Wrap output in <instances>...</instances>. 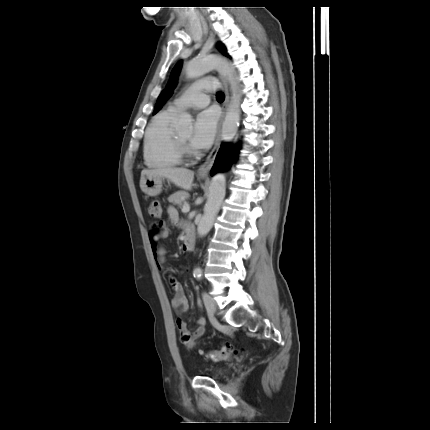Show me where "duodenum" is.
<instances>
[{"instance_id":"1","label":"duodenum","mask_w":430,"mask_h":430,"mask_svg":"<svg viewBox=\"0 0 430 430\" xmlns=\"http://www.w3.org/2000/svg\"><path fill=\"white\" fill-rule=\"evenodd\" d=\"M183 248L185 251H191L194 248V238L191 232H187L184 239Z\"/></svg>"}]
</instances>
